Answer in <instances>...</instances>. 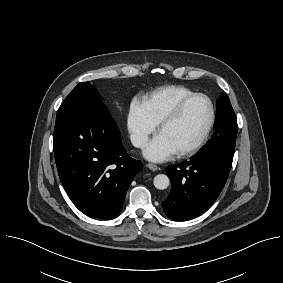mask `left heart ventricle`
<instances>
[{
	"instance_id": "obj_1",
	"label": "left heart ventricle",
	"mask_w": 283,
	"mask_h": 283,
	"mask_svg": "<svg viewBox=\"0 0 283 283\" xmlns=\"http://www.w3.org/2000/svg\"><path fill=\"white\" fill-rule=\"evenodd\" d=\"M210 119V105L204 98L192 101L180 118L164 128L162 134L176 149L182 151L195 144L205 131Z\"/></svg>"
}]
</instances>
